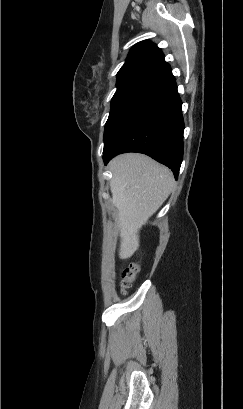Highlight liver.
<instances>
[{
  "label": "liver",
  "mask_w": 243,
  "mask_h": 409,
  "mask_svg": "<svg viewBox=\"0 0 243 409\" xmlns=\"http://www.w3.org/2000/svg\"><path fill=\"white\" fill-rule=\"evenodd\" d=\"M110 189L120 236L119 258H130L139 248V232L174 188L172 172L150 157L127 153L109 164Z\"/></svg>",
  "instance_id": "obj_1"
}]
</instances>
